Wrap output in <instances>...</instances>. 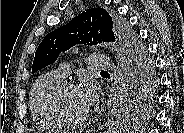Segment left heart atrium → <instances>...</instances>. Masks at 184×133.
Masks as SVG:
<instances>
[{
	"instance_id": "obj_1",
	"label": "left heart atrium",
	"mask_w": 184,
	"mask_h": 133,
	"mask_svg": "<svg viewBox=\"0 0 184 133\" xmlns=\"http://www.w3.org/2000/svg\"><path fill=\"white\" fill-rule=\"evenodd\" d=\"M79 90H80L82 99L89 107L94 102L95 96H96L94 86L90 83H86Z\"/></svg>"
}]
</instances>
